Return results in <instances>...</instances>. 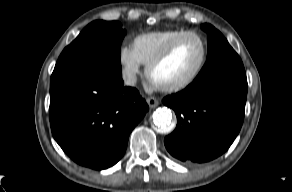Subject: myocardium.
Instances as JSON below:
<instances>
[{
  "label": "myocardium",
  "mask_w": 292,
  "mask_h": 192,
  "mask_svg": "<svg viewBox=\"0 0 292 192\" xmlns=\"http://www.w3.org/2000/svg\"><path fill=\"white\" fill-rule=\"evenodd\" d=\"M190 36L196 37L201 42V45H202V57L196 69L187 78L177 83L170 84V85L155 84L151 78V73L153 69L156 66H158L160 63H162L164 60H166L173 53L177 45L183 39ZM208 54H209L208 43L205 37L196 31H186L178 35L177 37H175L160 53H158L153 59L149 61V63L146 65V68H145L146 77L150 82L155 84L157 88L160 89L161 91L177 92V91L183 90L189 87L191 84H193L201 75V73L203 72L207 64Z\"/></svg>",
  "instance_id": "1"
}]
</instances>
